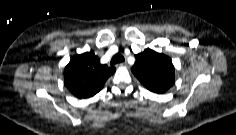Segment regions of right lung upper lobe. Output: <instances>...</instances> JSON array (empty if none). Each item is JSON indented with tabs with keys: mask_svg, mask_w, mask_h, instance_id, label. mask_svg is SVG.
Segmentation results:
<instances>
[{
	"mask_svg": "<svg viewBox=\"0 0 236 135\" xmlns=\"http://www.w3.org/2000/svg\"><path fill=\"white\" fill-rule=\"evenodd\" d=\"M116 71L100 63L93 51L73 57L64 69L65 86L79 99L93 97Z\"/></svg>",
	"mask_w": 236,
	"mask_h": 135,
	"instance_id": "1",
	"label": "right lung upper lobe"
}]
</instances>
